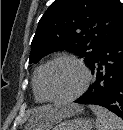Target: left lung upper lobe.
<instances>
[{
	"mask_svg": "<svg viewBox=\"0 0 123 130\" xmlns=\"http://www.w3.org/2000/svg\"><path fill=\"white\" fill-rule=\"evenodd\" d=\"M122 22L119 0H55L38 23L29 63L67 50L90 66Z\"/></svg>",
	"mask_w": 123,
	"mask_h": 130,
	"instance_id": "obj_1",
	"label": "left lung upper lobe"
}]
</instances>
